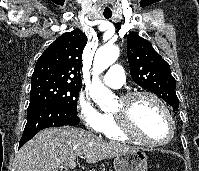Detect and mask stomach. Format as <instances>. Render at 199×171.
Listing matches in <instances>:
<instances>
[{
	"mask_svg": "<svg viewBox=\"0 0 199 171\" xmlns=\"http://www.w3.org/2000/svg\"><path fill=\"white\" fill-rule=\"evenodd\" d=\"M115 171H146L147 156L142 150L123 153L114 158Z\"/></svg>",
	"mask_w": 199,
	"mask_h": 171,
	"instance_id": "1",
	"label": "stomach"
}]
</instances>
